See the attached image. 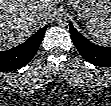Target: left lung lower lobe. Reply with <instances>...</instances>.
Wrapping results in <instances>:
<instances>
[{
  "label": "left lung lower lobe",
  "instance_id": "left-lung-lower-lobe-1",
  "mask_svg": "<svg viewBox=\"0 0 111 106\" xmlns=\"http://www.w3.org/2000/svg\"><path fill=\"white\" fill-rule=\"evenodd\" d=\"M70 32L76 48L85 60L100 67H111V48L100 47L91 43L71 23Z\"/></svg>",
  "mask_w": 111,
  "mask_h": 106
}]
</instances>
